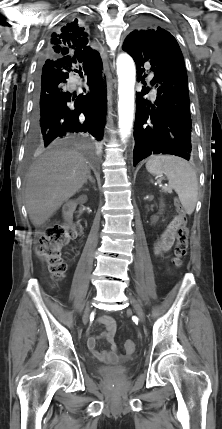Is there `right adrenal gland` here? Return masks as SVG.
<instances>
[{"label":"right adrenal gland","instance_id":"2a0ac1e0","mask_svg":"<svg viewBox=\"0 0 222 429\" xmlns=\"http://www.w3.org/2000/svg\"><path fill=\"white\" fill-rule=\"evenodd\" d=\"M88 180H89L91 183L95 184V180L93 179V177L91 176V174H90V173H89V175H88ZM85 183L87 184V181H86Z\"/></svg>","mask_w":222,"mask_h":429}]
</instances>
